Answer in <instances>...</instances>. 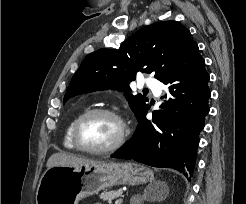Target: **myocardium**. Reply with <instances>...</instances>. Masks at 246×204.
I'll use <instances>...</instances> for the list:
<instances>
[{"label": "myocardium", "instance_id": "obj_1", "mask_svg": "<svg viewBox=\"0 0 246 204\" xmlns=\"http://www.w3.org/2000/svg\"><path fill=\"white\" fill-rule=\"evenodd\" d=\"M94 115H107L112 117L113 119H115L119 125V133L117 138L115 139V141L110 144L107 147L104 148H98V149H93V148H87L85 146H83L80 142L79 139V133H80V128L82 126V124L84 123V121L86 119H88L91 116ZM128 134V127L124 121V119L122 118V116L109 108H92L89 109L85 112H83L76 120L74 126H73V130H72V140L73 143L76 147V149H78L79 151L85 152V153H89V154H95V155H102V154H108L111 152L116 151L117 149H119L125 142L126 137Z\"/></svg>", "mask_w": 246, "mask_h": 204}]
</instances>
